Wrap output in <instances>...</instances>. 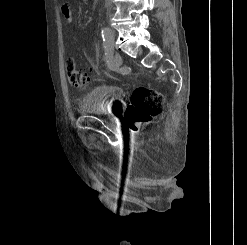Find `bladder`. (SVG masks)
<instances>
[{"label":"bladder","instance_id":"31cf9c89","mask_svg":"<svg viewBox=\"0 0 247 245\" xmlns=\"http://www.w3.org/2000/svg\"><path fill=\"white\" fill-rule=\"evenodd\" d=\"M123 94V89L115 85H94L81 97L80 111L88 115L115 112L120 108Z\"/></svg>","mask_w":247,"mask_h":245}]
</instances>
